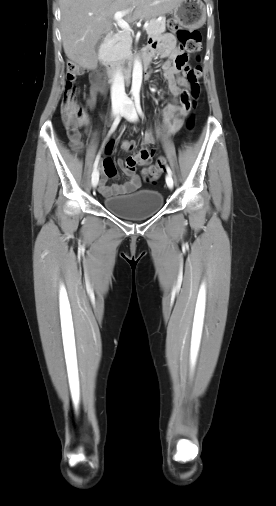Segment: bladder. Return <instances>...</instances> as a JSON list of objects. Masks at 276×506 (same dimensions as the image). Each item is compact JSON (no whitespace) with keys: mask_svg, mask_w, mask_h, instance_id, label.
<instances>
[{"mask_svg":"<svg viewBox=\"0 0 276 506\" xmlns=\"http://www.w3.org/2000/svg\"><path fill=\"white\" fill-rule=\"evenodd\" d=\"M163 202V194L152 189L139 190L103 199L107 210L127 219H140L151 216L162 208Z\"/></svg>","mask_w":276,"mask_h":506,"instance_id":"obj_1","label":"bladder"}]
</instances>
